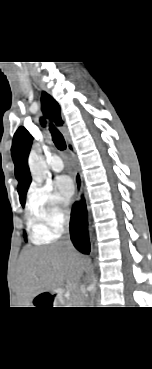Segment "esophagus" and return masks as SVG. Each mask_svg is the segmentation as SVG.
I'll return each instance as SVG.
<instances>
[{
    "instance_id": "1",
    "label": "esophagus",
    "mask_w": 152,
    "mask_h": 369,
    "mask_svg": "<svg viewBox=\"0 0 152 369\" xmlns=\"http://www.w3.org/2000/svg\"><path fill=\"white\" fill-rule=\"evenodd\" d=\"M74 181L76 185L75 201L79 203L81 201L82 190H83L82 176H81L79 167H76V170L74 173Z\"/></svg>"
}]
</instances>
